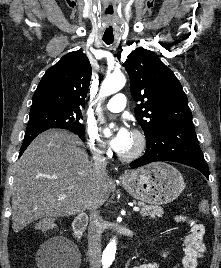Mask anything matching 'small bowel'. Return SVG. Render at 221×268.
Returning a JSON list of instances; mask_svg holds the SVG:
<instances>
[{
    "label": "small bowel",
    "mask_w": 221,
    "mask_h": 268,
    "mask_svg": "<svg viewBox=\"0 0 221 268\" xmlns=\"http://www.w3.org/2000/svg\"><path fill=\"white\" fill-rule=\"evenodd\" d=\"M177 220L188 225L189 231L184 238V257L181 262L174 268H196L198 260L203 256L206 251V245L204 241L205 227L197 219L180 215ZM170 250V246H167L163 252L162 257H165ZM159 262H150L135 266L133 268H158Z\"/></svg>",
    "instance_id": "small-bowel-1"
}]
</instances>
